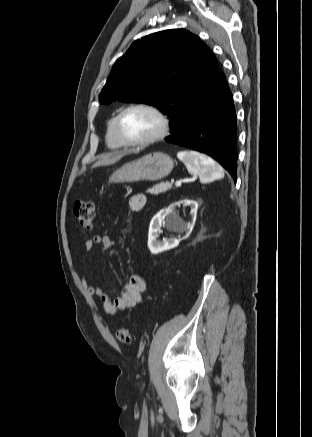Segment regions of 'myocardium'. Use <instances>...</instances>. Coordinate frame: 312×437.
<instances>
[{
    "label": "myocardium",
    "mask_w": 312,
    "mask_h": 437,
    "mask_svg": "<svg viewBox=\"0 0 312 437\" xmlns=\"http://www.w3.org/2000/svg\"><path fill=\"white\" fill-rule=\"evenodd\" d=\"M139 108L146 109V110L150 111L151 113H153L157 117V119L159 120V129L154 135H152L148 138L141 139V140H132V139H129L124 134V132L122 130V119L127 112H129L133 109H139ZM115 129H116L118 137L125 145H127V146H145V145L153 144L166 136V134L169 130V121H168L166 115L155 105L150 104V103H145V102H139V103H133V104L126 106L118 113L116 120H115Z\"/></svg>",
    "instance_id": "f54148a6"
}]
</instances>
